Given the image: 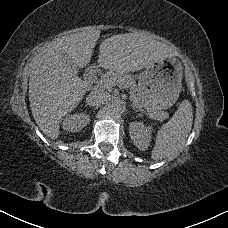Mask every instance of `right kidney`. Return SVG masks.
<instances>
[{
    "label": "right kidney",
    "mask_w": 228,
    "mask_h": 228,
    "mask_svg": "<svg viewBox=\"0 0 228 228\" xmlns=\"http://www.w3.org/2000/svg\"><path fill=\"white\" fill-rule=\"evenodd\" d=\"M88 124H89V117L83 114L81 115L77 114V115L67 117L64 121V127L68 131H73V132L80 131Z\"/></svg>",
    "instance_id": "ca27d5eb"
}]
</instances>
